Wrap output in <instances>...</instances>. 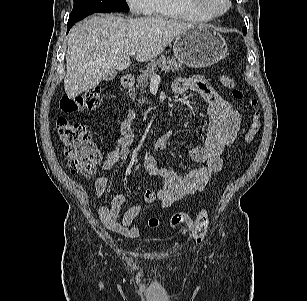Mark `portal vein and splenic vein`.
<instances>
[{
    "mask_svg": "<svg viewBox=\"0 0 307 301\" xmlns=\"http://www.w3.org/2000/svg\"><path fill=\"white\" fill-rule=\"evenodd\" d=\"M130 56H133V55H135L136 54V50H132V51H130L129 53H128ZM152 79H155V80H160V76L158 75V74H155L154 76H153V78Z\"/></svg>",
    "mask_w": 307,
    "mask_h": 301,
    "instance_id": "portal-vein-and-splenic-vein-1",
    "label": "portal vein and splenic vein"
}]
</instances>
